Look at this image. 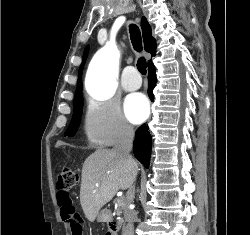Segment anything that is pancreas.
<instances>
[{"instance_id":"obj_1","label":"pancreas","mask_w":250,"mask_h":235,"mask_svg":"<svg viewBox=\"0 0 250 235\" xmlns=\"http://www.w3.org/2000/svg\"><path fill=\"white\" fill-rule=\"evenodd\" d=\"M124 197H122L119 202H118V211H117V215L120 216L122 213V208L124 207Z\"/></svg>"}]
</instances>
